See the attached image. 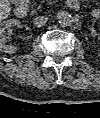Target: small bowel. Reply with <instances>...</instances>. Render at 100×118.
Listing matches in <instances>:
<instances>
[{
    "label": "small bowel",
    "instance_id": "1",
    "mask_svg": "<svg viewBox=\"0 0 100 118\" xmlns=\"http://www.w3.org/2000/svg\"><path fill=\"white\" fill-rule=\"evenodd\" d=\"M98 14H99V11H95V12H94V15L97 16Z\"/></svg>",
    "mask_w": 100,
    "mask_h": 118
}]
</instances>
